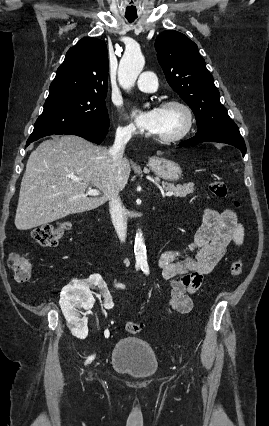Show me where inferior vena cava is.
<instances>
[{"instance_id": "1", "label": "inferior vena cava", "mask_w": 269, "mask_h": 426, "mask_svg": "<svg viewBox=\"0 0 269 426\" xmlns=\"http://www.w3.org/2000/svg\"><path fill=\"white\" fill-rule=\"evenodd\" d=\"M130 139L131 133L129 131H117L114 145L110 151L113 169L121 165L125 146ZM115 185L109 196V211L117 235L124 242L127 234V214L119 197L120 189Z\"/></svg>"}]
</instances>
